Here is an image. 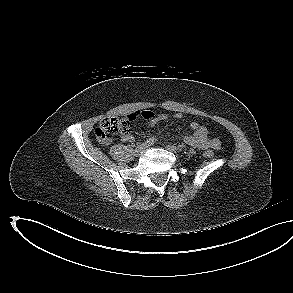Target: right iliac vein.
<instances>
[{
	"mask_svg": "<svg viewBox=\"0 0 293 293\" xmlns=\"http://www.w3.org/2000/svg\"><path fill=\"white\" fill-rule=\"evenodd\" d=\"M148 148L147 145L145 144H141L139 145L136 149H135V155L136 156H140L142 153H144V151Z\"/></svg>",
	"mask_w": 293,
	"mask_h": 293,
	"instance_id": "obj_1",
	"label": "right iliac vein"
}]
</instances>
